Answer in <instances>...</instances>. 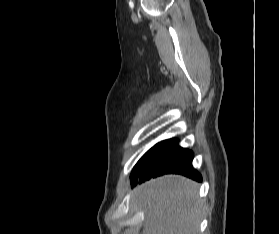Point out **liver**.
<instances>
[{"instance_id": "1", "label": "liver", "mask_w": 279, "mask_h": 234, "mask_svg": "<svg viewBox=\"0 0 279 234\" xmlns=\"http://www.w3.org/2000/svg\"><path fill=\"white\" fill-rule=\"evenodd\" d=\"M132 204L145 213L142 234H198L202 203L190 179H152L133 190Z\"/></svg>"}]
</instances>
